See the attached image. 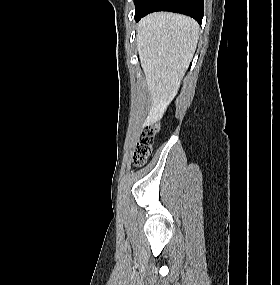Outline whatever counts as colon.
I'll list each match as a JSON object with an SVG mask.
<instances>
[{
  "label": "colon",
  "instance_id": "1",
  "mask_svg": "<svg viewBox=\"0 0 280 285\" xmlns=\"http://www.w3.org/2000/svg\"><path fill=\"white\" fill-rule=\"evenodd\" d=\"M157 130V126H147L143 130L133 155V162L135 166L140 167L146 163L147 158L151 153Z\"/></svg>",
  "mask_w": 280,
  "mask_h": 285
}]
</instances>
